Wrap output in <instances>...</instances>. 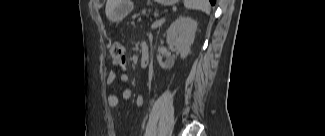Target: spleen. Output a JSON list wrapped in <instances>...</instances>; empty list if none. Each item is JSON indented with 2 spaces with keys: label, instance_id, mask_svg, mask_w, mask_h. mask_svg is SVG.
Returning <instances> with one entry per match:
<instances>
[{
  "label": "spleen",
  "instance_id": "3e777b00",
  "mask_svg": "<svg viewBox=\"0 0 325 136\" xmlns=\"http://www.w3.org/2000/svg\"><path fill=\"white\" fill-rule=\"evenodd\" d=\"M184 6L187 9L200 10L205 13L210 12V5L207 0H184Z\"/></svg>",
  "mask_w": 325,
  "mask_h": 136
}]
</instances>
